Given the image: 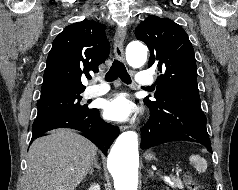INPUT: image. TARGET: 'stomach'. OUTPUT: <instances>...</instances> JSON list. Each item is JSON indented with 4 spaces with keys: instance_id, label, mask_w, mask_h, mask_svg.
<instances>
[{
    "instance_id": "obj_1",
    "label": "stomach",
    "mask_w": 238,
    "mask_h": 190,
    "mask_svg": "<svg viewBox=\"0 0 238 190\" xmlns=\"http://www.w3.org/2000/svg\"><path fill=\"white\" fill-rule=\"evenodd\" d=\"M145 159L148 160V161H151V160H155L156 157L155 155L151 154V153H148L145 155Z\"/></svg>"
}]
</instances>
